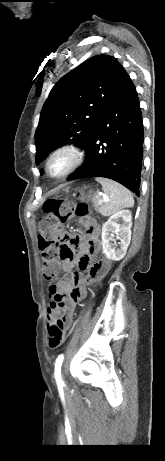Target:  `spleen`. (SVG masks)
Instances as JSON below:
<instances>
[{"instance_id":"spleen-1","label":"spleen","mask_w":165,"mask_h":461,"mask_svg":"<svg viewBox=\"0 0 165 461\" xmlns=\"http://www.w3.org/2000/svg\"><path fill=\"white\" fill-rule=\"evenodd\" d=\"M108 196V201L101 207V214L109 216L123 208H129L134 205V199L131 192L117 182L106 178L96 179Z\"/></svg>"}]
</instances>
